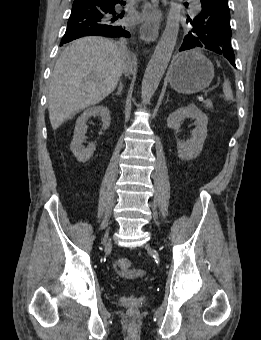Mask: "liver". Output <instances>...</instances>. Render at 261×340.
<instances>
[{"label": "liver", "instance_id": "liver-1", "mask_svg": "<svg viewBox=\"0 0 261 340\" xmlns=\"http://www.w3.org/2000/svg\"><path fill=\"white\" fill-rule=\"evenodd\" d=\"M131 65L129 55L111 40L90 36L71 43L51 75L47 99L52 128L56 130L73 114L101 102Z\"/></svg>", "mask_w": 261, "mask_h": 340}]
</instances>
